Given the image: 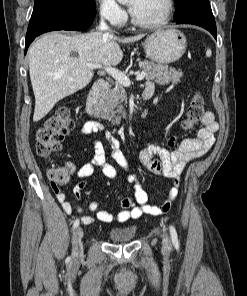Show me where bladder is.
I'll return each mask as SVG.
<instances>
[{"instance_id": "1", "label": "bladder", "mask_w": 247, "mask_h": 296, "mask_svg": "<svg viewBox=\"0 0 247 296\" xmlns=\"http://www.w3.org/2000/svg\"><path fill=\"white\" fill-rule=\"evenodd\" d=\"M135 234V227H116L110 231L109 238L113 243H126L131 241Z\"/></svg>"}]
</instances>
